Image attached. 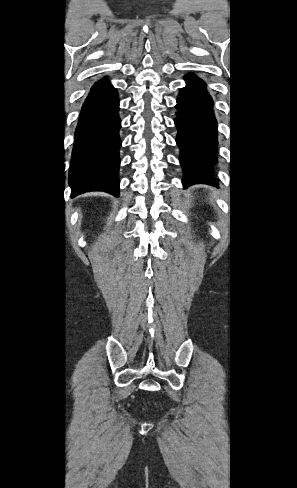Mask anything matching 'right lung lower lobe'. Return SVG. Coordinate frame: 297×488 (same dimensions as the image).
Masks as SVG:
<instances>
[{
	"label": "right lung lower lobe",
	"instance_id": "1",
	"mask_svg": "<svg viewBox=\"0 0 297 488\" xmlns=\"http://www.w3.org/2000/svg\"><path fill=\"white\" fill-rule=\"evenodd\" d=\"M117 90L103 81L86 98L75 131L69 183L72 197L90 191L117 196L121 140Z\"/></svg>",
	"mask_w": 297,
	"mask_h": 488
}]
</instances>
